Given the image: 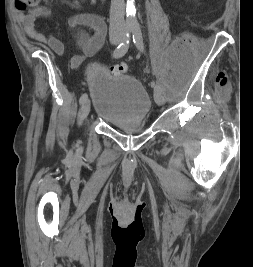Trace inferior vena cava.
Masks as SVG:
<instances>
[{
  "label": "inferior vena cava",
  "mask_w": 253,
  "mask_h": 267,
  "mask_svg": "<svg viewBox=\"0 0 253 267\" xmlns=\"http://www.w3.org/2000/svg\"><path fill=\"white\" fill-rule=\"evenodd\" d=\"M124 8V0H111L110 30L125 28Z\"/></svg>",
  "instance_id": "inferior-vena-cava-1"
}]
</instances>
